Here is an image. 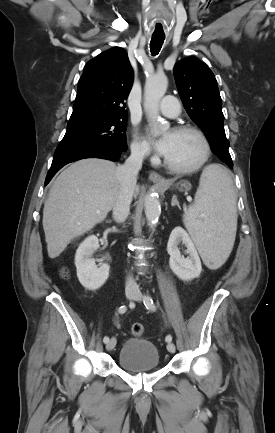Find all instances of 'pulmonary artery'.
Instances as JSON below:
<instances>
[{"mask_svg":"<svg viewBox=\"0 0 275 433\" xmlns=\"http://www.w3.org/2000/svg\"><path fill=\"white\" fill-rule=\"evenodd\" d=\"M159 109L163 115L171 118L180 114L179 101L174 96L170 95L163 98Z\"/></svg>","mask_w":275,"mask_h":433,"instance_id":"e3ab8cb5","label":"pulmonary artery"}]
</instances>
